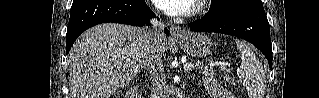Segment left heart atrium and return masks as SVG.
I'll return each mask as SVG.
<instances>
[{"label": "left heart atrium", "mask_w": 319, "mask_h": 98, "mask_svg": "<svg viewBox=\"0 0 319 98\" xmlns=\"http://www.w3.org/2000/svg\"><path fill=\"white\" fill-rule=\"evenodd\" d=\"M157 6L169 15H181L190 12L194 0H155Z\"/></svg>", "instance_id": "left-heart-atrium-1"}]
</instances>
